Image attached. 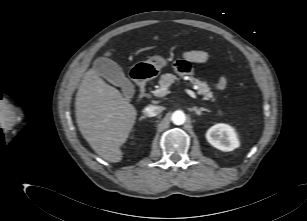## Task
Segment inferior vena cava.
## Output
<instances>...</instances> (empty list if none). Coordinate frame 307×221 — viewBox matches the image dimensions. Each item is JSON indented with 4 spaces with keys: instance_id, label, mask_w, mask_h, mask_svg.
<instances>
[{
    "instance_id": "obj_1",
    "label": "inferior vena cava",
    "mask_w": 307,
    "mask_h": 221,
    "mask_svg": "<svg viewBox=\"0 0 307 221\" xmlns=\"http://www.w3.org/2000/svg\"><path fill=\"white\" fill-rule=\"evenodd\" d=\"M161 111H162L161 106L148 105L146 108H144L143 114L149 117H154L158 115Z\"/></svg>"
}]
</instances>
